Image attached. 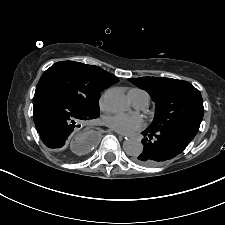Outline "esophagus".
Masks as SVG:
<instances>
[{"label":"esophagus","mask_w":225,"mask_h":225,"mask_svg":"<svg viewBox=\"0 0 225 225\" xmlns=\"http://www.w3.org/2000/svg\"><path fill=\"white\" fill-rule=\"evenodd\" d=\"M116 133H117L118 135H120L121 137H126V136H127L126 134H123V133H120V132H117V131H116Z\"/></svg>","instance_id":"obj_1"}]
</instances>
